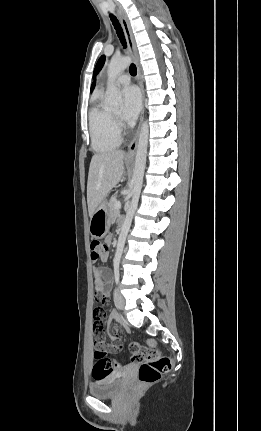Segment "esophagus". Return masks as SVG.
Masks as SVG:
<instances>
[{
    "label": "esophagus",
    "instance_id": "obj_1",
    "mask_svg": "<svg viewBox=\"0 0 261 431\" xmlns=\"http://www.w3.org/2000/svg\"><path fill=\"white\" fill-rule=\"evenodd\" d=\"M117 13L118 16L120 18L121 24L123 26L124 32H125V36H126V40H127V44H128V48L130 51L131 56L133 57L135 64H136V68H137V80H138V84L141 90V99H142V109H141V116H140V121H139V125L137 127V130L135 132V135L132 139V141L130 142L129 146H128V151H127V155L128 156H132L134 155L136 149H137V144H138V138H139V134H140V129H141V124H142V120H143V114H144V86H143V82H142V76H141V67H140V62H139V54H138V49L136 46V42L134 39V35L129 23V20L126 16V14L120 10L117 9Z\"/></svg>",
    "mask_w": 261,
    "mask_h": 431
}]
</instances>
